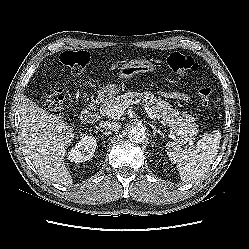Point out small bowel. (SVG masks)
Masks as SVG:
<instances>
[{
  "label": "small bowel",
  "instance_id": "small-bowel-1",
  "mask_svg": "<svg viewBox=\"0 0 249 249\" xmlns=\"http://www.w3.org/2000/svg\"><path fill=\"white\" fill-rule=\"evenodd\" d=\"M162 95L167 97V98H172V99H178L182 101H188L189 96L185 93H180V92H162Z\"/></svg>",
  "mask_w": 249,
  "mask_h": 249
}]
</instances>
